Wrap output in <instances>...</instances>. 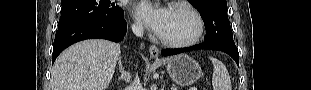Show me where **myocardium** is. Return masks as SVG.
<instances>
[{"label":"myocardium","mask_w":311,"mask_h":90,"mask_svg":"<svg viewBox=\"0 0 311 90\" xmlns=\"http://www.w3.org/2000/svg\"><path fill=\"white\" fill-rule=\"evenodd\" d=\"M173 9L187 13L194 20L195 32L190 38L182 40H173L159 36L160 42L166 46L173 48H183L196 44L200 40L204 32V21L201 15L187 4H176Z\"/></svg>","instance_id":"f54148a6"}]
</instances>
